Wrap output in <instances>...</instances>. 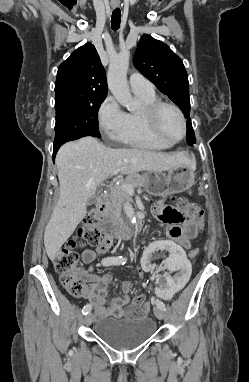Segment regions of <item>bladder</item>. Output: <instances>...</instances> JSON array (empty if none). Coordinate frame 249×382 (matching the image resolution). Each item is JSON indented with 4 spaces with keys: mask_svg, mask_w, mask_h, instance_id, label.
<instances>
[{
    "mask_svg": "<svg viewBox=\"0 0 249 382\" xmlns=\"http://www.w3.org/2000/svg\"><path fill=\"white\" fill-rule=\"evenodd\" d=\"M156 323L150 317L135 320L107 317L95 324V334L109 346L119 349H133L150 339Z\"/></svg>",
    "mask_w": 249,
    "mask_h": 382,
    "instance_id": "obj_1",
    "label": "bladder"
}]
</instances>
